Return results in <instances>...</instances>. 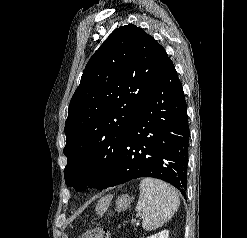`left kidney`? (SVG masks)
Listing matches in <instances>:
<instances>
[{
    "label": "left kidney",
    "instance_id": "1",
    "mask_svg": "<svg viewBox=\"0 0 247 238\" xmlns=\"http://www.w3.org/2000/svg\"><path fill=\"white\" fill-rule=\"evenodd\" d=\"M169 237V231L168 230H163L155 235H152L147 238H168Z\"/></svg>",
    "mask_w": 247,
    "mask_h": 238
}]
</instances>
